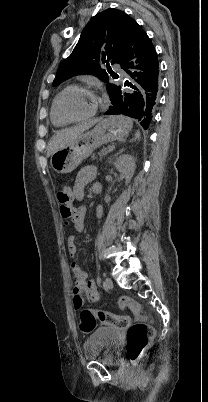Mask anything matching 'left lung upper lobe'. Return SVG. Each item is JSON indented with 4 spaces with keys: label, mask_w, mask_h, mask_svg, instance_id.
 <instances>
[{
    "label": "left lung upper lobe",
    "mask_w": 208,
    "mask_h": 402,
    "mask_svg": "<svg viewBox=\"0 0 208 402\" xmlns=\"http://www.w3.org/2000/svg\"><path fill=\"white\" fill-rule=\"evenodd\" d=\"M134 22L129 15L113 8L95 15L84 27L71 55L61 63L53 86L80 73L93 74L108 82V74H111L109 62L120 64ZM101 65L107 66L108 73ZM115 87L114 84H107L109 96Z\"/></svg>",
    "instance_id": "left-lung-upper-lobe-1"
}]
</instances>
